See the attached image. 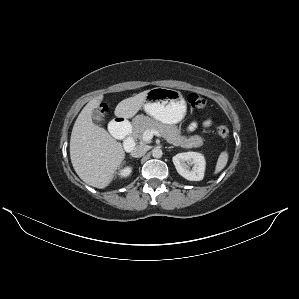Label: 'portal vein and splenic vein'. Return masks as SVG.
<instances>
[{
    "instance_id": "portal-vein-and-splenic-vein-1",
    "label": "portal vein and splenic vein",
    "mask_w": 299,
    "mask_h": 299,
    "mask_svg": "<svg viewBox=\"0 0 299 299\" xmlns=\"http://www.w3.org/2000/svg\"><path fill=\"white\" fill-rule=\"evenodd\" d=\"M161 137L162 135L157 130H146L142 135V141L143 142H150L153 136Z\"/></svg>"
}]
</instances>
